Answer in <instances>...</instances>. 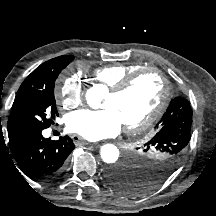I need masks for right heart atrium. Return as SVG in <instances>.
<instances>
[{
	"label": "right heart atrium",
	"instance_id": "d8ad5b80",
	"mask_svg": "<svg viewBox=\"0 0 216 216\" xmlns=\"http://www.w3.org/2000/svg\"><path fill=\"white\" fill-rule=\"evenodd\" d=\"M83 84L76 77H66L55 91L57 102L67 108H75L81 105L83 100Z\"/></svg>",
	"mask_w": 216,
	"mask_h": 216
}]
</instances>
